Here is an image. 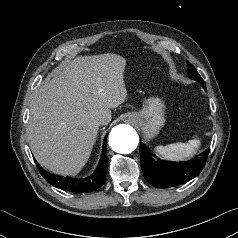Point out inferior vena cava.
<instances>
[{
	"mask_svg": "<svg viewBox=\"0 0 238 238\" xmlns=\"http://www.w3.org/2000/svg\"><path fill=\"white\" fill-rule=\"evenodd\" d=\"M105 124H107V122L104 119H100V120L97 121L98 126L105 125Z\"/></svg>",
	"mask_w": 238,
	"mask_h": 238,
	"instance_id": "1",
	"label": "inferior vena cava"
}]
</instances>
